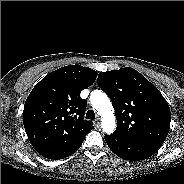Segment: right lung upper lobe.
Listing matches in <instances>:
<instances>
[{
  "mask_svg": "<svg viewBox=\"0 0 184 184\" xmlns=\"http://www.w3.org/2000/svg\"><path fill=\"white\" fill-rule=\"evenodd\" d=\"M96 75L89 67L69 65L35 85L24 105L23 124L39 154L77 146L93 129V123L84 120L86 101L80 92L94 83Z\"/></svg>",
  "mask_w": 184,
  "mask_h": 184,
  "instance_id": "obj_1",
  "label": "right lung upper lobe"
}]
</instances>
